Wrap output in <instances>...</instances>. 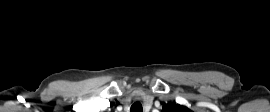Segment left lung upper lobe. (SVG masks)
<instances>
[{
  "mask_svg": "<svg viewBox=\"0 0 270 112\" xmlns=\"http://www.w3.org/2000/svg\"><path fill=\"white\" fill-rule=\"evenodd\" d=\"M162 112H193L185 106L174 103H168L163 106Z\"/></svg>",
  "mask_w": 270,
  "mask_h": 112,
  "instance_id": "5c2ea615",
  "label": "left lung upper lobe"
}]
</instances>
